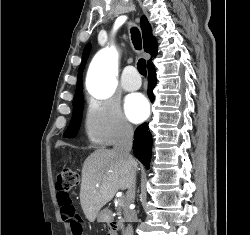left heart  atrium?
<instances>
[{
  "instance_id": "1",
  "label": "left heart atrium",
  "mask_w": 250,
  "mask_h": 235,
  "mask_svg": "<svg viewBox=\"0 0 250 235\" xmlns=\"http://www.w3.org/2000/svg\"><path fill=\"white\" fill-rule=\"evenodd\" d=\"M126 113L133 122L142 121L148 114V104L141 95L131 96L126 103Z\"/></svg>"
}]
</instances>
